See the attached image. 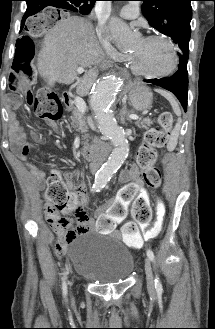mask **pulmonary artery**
<instances>
[{
  "label": "pulmonary artery",
  "instance_id": "e3ab8cb5",
  "mask_svg": "<svg viewBox=\"0 0 215 329\" xmlns=\"http://www.w3.org/2000/svg\"><path fill=\"white\" fill-rule=\"evenodd\" d=\"M121 17L125 19H135L140 14V8L138 3L136 2H129L122 6L119 11Z\"/></svg>",
  "mask_w": 215,
  "mask_h": 329
}]
</instances>
